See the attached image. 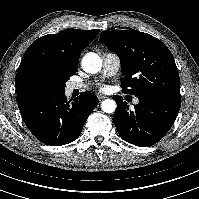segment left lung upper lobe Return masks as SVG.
I'll return each mask as SVG.
<instances>
[{
  "label": "left lung upper lobe",
  "mask_w": 199,
  "mask_h": 199,
  "mask_svg": "<svg viewBox=\"0 0 199 199\" xmlns=\"http://www.w3.org/2000/svg\"><path fill=\"white\" fill-rule=\"evenodd\" d=\"M99 41L119 56L125 93L180 98L173 55L159 39L137 30H113L103 31Z\"/></svg>",
  "instance_id": "1"
}]
</instances>
